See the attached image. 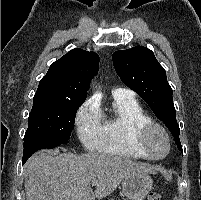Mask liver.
<instances>
[{"label": "liver", "mask_w": 201, "mask_h": 200, "mask_svg": "<svg viewBox=\"0 0 201 200\" xmlns=\"http://www.w3.org/2000/svg\"><path fill=\"white\" fill-rule=\"evenodd\" d=\"M153 169L130 159L99 154L39 151L24 167L26 200H95L109 196L121 181ZM96 181V190L91 188Z\"/></svg>", "instance_id": "6515ba94"}]
</instances>
